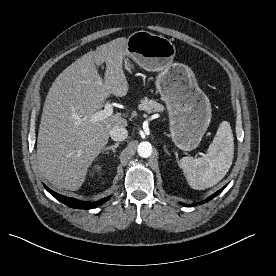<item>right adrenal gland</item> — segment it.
Instances as JSON below:
<instances>
[{"instance_id":"obj_1","label":"right adrenal gland","mask_w":276,"mask_h":276,"mask_svg":"<svg viewBox=\"0 0 276 276\" xmlns=\"http://www.w3.org/2000/svg\"><path fill=\"white\" fill-rule=\"evenodd\" d=\"M118 146H119V142L115 143L114 145L108 146V147L104 148V150L102 151V154L108 152L109 150H112V152L115 154Z\"/></svg>"}]
</instances>
